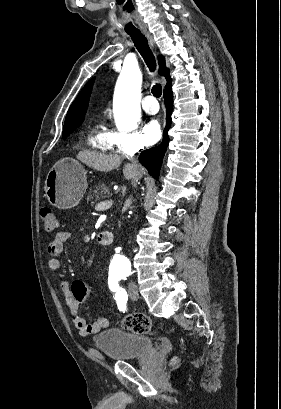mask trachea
Masks as SVG:
<instances>
[{"instance_id": "trachea-1", "label": "trachea", "mask_w": 281, "mask_h": 409, "mask_svg": "<svg viewBox=\"0 0 281 409\" xmlns=\"http://www.w3.org/2000/svg\"><path fill=\"white\" fill-rule=\"evenodd\" d=\"M130 37L132 38L135 47L137 48L138 52L141 54L143 57L147 67L149 68L150 72H155L156 70V61L154 54L152 53V50L150 49L148 45V40L147 38L140 32H131L128 33ZM152 93L154 97L159 98L161 97L162 94V87L160 83H156L152 87Z\"/></svg>"}]
</instances>
